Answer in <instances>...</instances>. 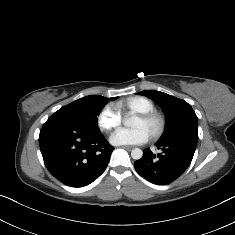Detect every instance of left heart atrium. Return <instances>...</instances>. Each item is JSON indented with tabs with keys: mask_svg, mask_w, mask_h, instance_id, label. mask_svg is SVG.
I'll return each instance as SVG.
<instances>
[{
	"mask_svg": "<svg viewBox=\"0 0 235 235\" xmlns=\"http://www.w3.org/2000/svg\"><path fill=\"white\" fill-rule=\"evenodd\" d=\"M109 139L117 146L144 144L149 140V133L144 128L118 129L111 134Z\"/></svg>",
	"mask_w": 235,
	"mask_h": 235,
	"instance_id": "obj_1",
	"label": "left heart atrium"
}]
</instances>
